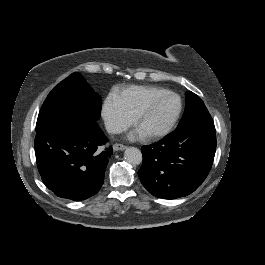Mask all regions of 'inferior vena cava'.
I'll use <instances>...</instances> for the list:
<instances>
[{"label": "inferior vena cava", "mask_w": 265, "mask_h": 265, "mask_svg": "<svg viewBox=\"0 0 265 265\" xmlns=\"http://www.w3.org/2000/svg\"><path fill=\"white\" fill-rule=\"evenodd\" d=\"M105 131L108 134H118L122 132V126L117 122L106 121L105 122Z\"/></svg>", "instance_id": "1"}]
</instances>
